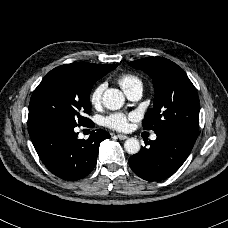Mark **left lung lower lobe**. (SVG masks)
Listing matches in <instances>:
<instances>
[{"label":"left lung lower lobe","mask_w":228,"mask_h":228,"mask_svg":"<svg viewBox=\"0 0 228 228\" xmlns=\"http://www.w3.org/2000/svg\"><path fill=\"white\" fill-rule=\"evenodd\" d=\"M154 141L145 140L147 148L129 158L132 171L147 181H160L173 175L189 156L197 138L177 133H156Z\"/></svg>","instance_id":"0a47b994"}]
</instances>
